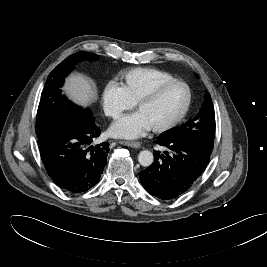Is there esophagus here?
I'll list each match as a JSON object with an SVG mask.
<instances>
[{"mask_svg": "<svg viewBox=\"0 0 267 267\" xmlns=\"http://www.w3.org/2000/svg\"><path fill=\"white\" fill-rule=\"evenodd\" d=\"M124 145H127L132 148H139L140 147V142H133V141H122L121 142Z\"/></svg>", "mask_w": 267, "mask_h": 267, "instance_id": "esophagus-1", "label": "esophagus"}]
</instances>
